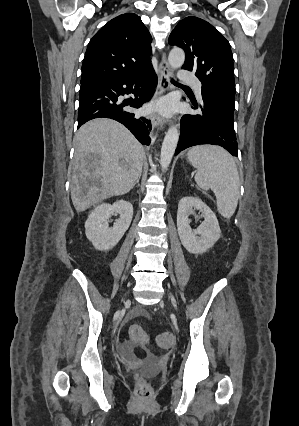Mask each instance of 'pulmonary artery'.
<instances>
[{"instance_id": "1", "label": "pulmonary artery", "mask_w": 299, "mask_h": 426, "mask_svg": "<svg viewBox=\"0 0 299 426\" xmlns=\"http://www.w3.org/2000/svg\"><path fill=\"white\" fill-rule=\"evenodd\" d=\"M180 78L184 81L189 82L192 85L196 95L198 97L201 96V82L195 76L190 75L184 71H181Z\"/></svg>"}]
</instances>
